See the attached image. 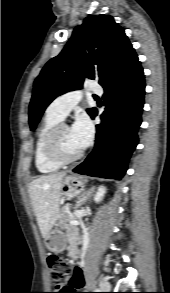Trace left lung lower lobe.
Instances as JSON below:
<instances>
[{"label": "left lung lower lobe", "mask_w": 170, "mask_h": 293, "mask_svg": "<svg viewBox=\"0 0 170 293\" xmlns=\"http://www.w3.org/2000/svg\"><path fill=\"white\" fill-rule=\"evenodd\" d=\"M102 86L107 106L101 119L111 121L96 126L95 148L73 172L120 180L138 144L144 105V73L133 47L114 66ZM96 115L97 110L92 118Z\"/></svg>", "instance_id": "0a47b994"}]
</instances>
